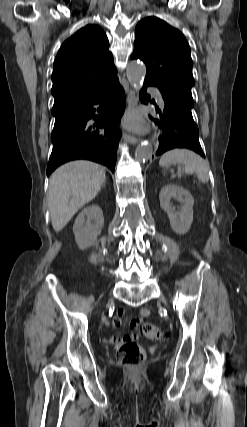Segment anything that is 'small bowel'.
Returning a JSON list of instances; mask_svg holds the SVG:
<instances>
[{
  "label": "small bowel",
  "instance_id": "small-bowel-1",
  "mask_svg": "<svg viewBox=\"0 0 247 427\" xmlns=\"http://www.w3.org/2000/svg\"><path fill=\"white\" fill-rule=\"evenodd\" d=\"M149 313L150 312H149V310L147 308H142L140 310V312H139V317L133 319L130 322V330H131L130 334L126 335L124 337L111 336L109 338V342L113 343L115 345H122L125 342H133V341H135L136 338H137L138 327H139L140 323L142 322V319L145 318V317H147L149 315ZM123 314H124V310L123 309H118L117 310L115 318H114V321H113V325H115V326H120L121 325ZM104 321H105V324L107 326L111 325V323H110V321L108 319H105Z\"/></svg>",
  "mask_w": 247,
  "mask_h": 427
}]
</instances>
